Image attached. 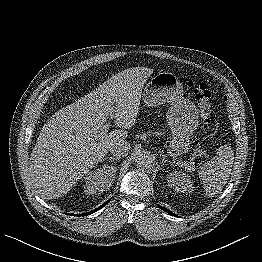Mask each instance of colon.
Wrapping results in <instances>:
<instances>
[{
	"label": "colon",
	"instance_id": "colon-1",
	"mask_svg": "<svg viewBox=\"0 0 262 262\" xmlns=\"http://www.w3.org/2000/svg\"><path fill=\"white\" fill-rule=\"evenodd\" d=\"M187 86L192 89L199 106L200 126L203 131H207L211 121V92L203 82L188 81Z\"/></svg>",
	"mask_w": 262,
	"mask_h": 262
}]
</instances>
